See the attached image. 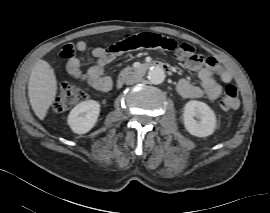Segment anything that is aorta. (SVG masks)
<instances>
[{"instance_id":"762f6f07","label":"aorta","mask_w":270,"mask_h":213,"mask_svg":"<svg viewBox=\"0 0 270 213\" xmlns=\"http://www.w3.org/2000/svg\"><path fill=\"white\" fill-rule=\"evenodd\" d=\"M148 79L152 84H161L165 79L164 70L161 67H151L148 71Z\"/></svg>"}]
</instances>
